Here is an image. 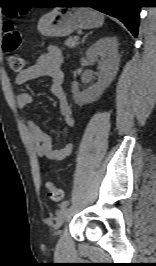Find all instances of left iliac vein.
I'll return each instance as SVG.
<instances>
[{"label":"left iliac vein","mask_w":156,"mask_h":266,"mask_svg":"<svg viewBox=\"0 0 156 266\" xmlns=\"http://www.w3.org/2000/svg\"><path fill=\"white\" fill-rule=\"evenodd\" d=\"M69 214V209L67 207L61 209L57 215L56 223L54 225V229L58 230L66 221Z\"/></svg>","instance_id":"left-iliac-vein-1"}]
</instances>
